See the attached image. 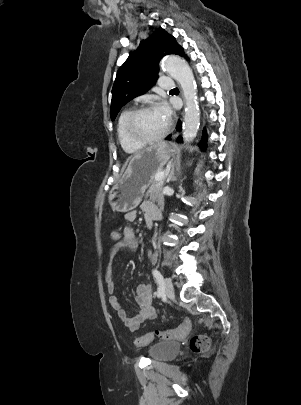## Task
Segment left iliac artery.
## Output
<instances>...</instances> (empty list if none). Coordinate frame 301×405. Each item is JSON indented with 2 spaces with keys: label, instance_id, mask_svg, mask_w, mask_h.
I'll return each mask as SVG.
<instances>
[{
  "label": "left iliac artery",
  "instance_id": "obj_1",
  "mask_svg": "<svg viewBox=\"0 0 301 405\" xmlns=\"http://www.w3.org/2000/svg\"><path fill=\"white\" fill-rule=\"evenodd\" d=\"M152 274L158 285L157 297H161L164 295V290H165L163 276L160 273V271H158L157 269H153Z\"/></svg>",
  "mask_w": 301,
  "mask_h": 405
}]
</instances>
